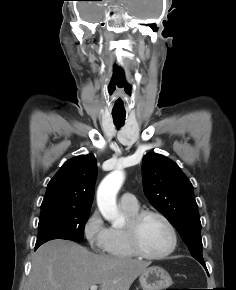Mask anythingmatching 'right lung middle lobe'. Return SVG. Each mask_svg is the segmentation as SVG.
<instances>
[{"mask_svg": "<svg viewBox=\"0 0 236 290\" xmlns=\"http://www.w3.org/2000/svg\"><path fill=\"white\" fill-rule=\"evenodd\" d=\"M90 210H41L35 247L52 239L82 240Z\"/></svg>", "mask_w": 236, "mask_h": 290, "instance_id": "obj_1", "label": "right lung middle lobe"}]
</instances>
